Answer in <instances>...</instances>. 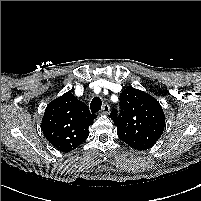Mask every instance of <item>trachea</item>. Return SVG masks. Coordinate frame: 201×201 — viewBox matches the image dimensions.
Here are the masks:
<instances>
[{
  "mask_svg": "<svg viewBox=\"0 0 201 201\" xmlns=\"http://www.w3.org/2000/svg\"><path fill=\"white\" fill-rule=\"evenodd\" d=\"M102 100L99 97H94L90 104V109L92 113H96L101 110Z\"/></svg>",
  "mask_w": 201,
  "mask_h": 201,
  "instance_id": "obj_1",
  "label": "trachea"
}]
</instances>
